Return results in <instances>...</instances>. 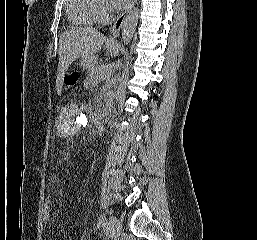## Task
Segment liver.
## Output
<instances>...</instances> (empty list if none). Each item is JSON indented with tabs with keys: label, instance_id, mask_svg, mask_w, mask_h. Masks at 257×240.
<instances>
[{
	"label": "liver",
	"instance_id": "6515ba94",
	"mask_svg": "<svg viewBox=\"0 0 257 240\" xmlns=\"http://www.w3.org/2000/svg\"><path fill=\"white\" fill-rule=\"evenodd\" d=\"M105 41V37L92 27L79 28L65 32L59 39V64L56 80L58 93L61 83L70 65L79 57L95 59Z\"/></svg>",
	"mask_w": 257,
	"mask_h": 240
}]
</instances>
